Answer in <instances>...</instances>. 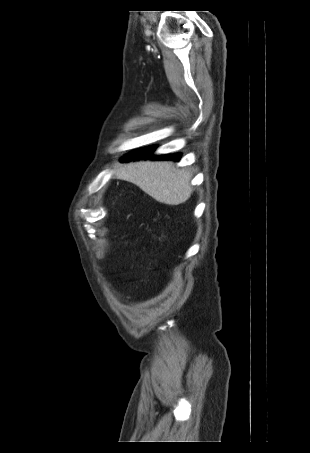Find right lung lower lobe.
Returning <instances> with one entry per match:
<instances>
[{
    "mask_svg": "<svg viewBox=\"0 0 310 453\" xmlns=\"http://www.w3.org/2000/svg\"><path fill=\"white\" fill-rule=\"evenodd\" d=\"M155 147H148L143 149H138L130 152L128 155L122 158V162L130 161V160H138L142 158H153V159H172V160H179L181 155L180 154H173V155H160V156H152V152L154 151Z\"/></svg>",
    "mask_w": 310,
    "mask_h": 453,
    "instance_id": "obj_1",
    "label": "right lung lower lobe"
}]
</instances>
